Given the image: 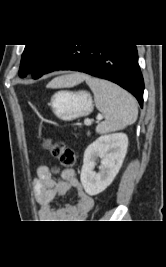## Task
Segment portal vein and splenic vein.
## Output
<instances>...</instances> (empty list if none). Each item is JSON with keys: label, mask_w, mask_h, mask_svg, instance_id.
Here are the masks:
<instances>
[{"label": "portal vein and splenic vein", "mask_w": 166, "mask_h": 267, "mask_svg": "<svg viewBox=\"0 0 166 267\" xmlns=\"http://www.w3.org/2000/svg\"><path fill=\"white\" fill-rule=\"evenodd\" d=\"M97 118H98V119H101V118H102V115H99ZM84 123H85V125L89 126V125H91V120H90V119H86V120L84 121Z\"/></svg>", "instance_id": "portal-vein-and-splenic-vein-1"}]
</instances>
